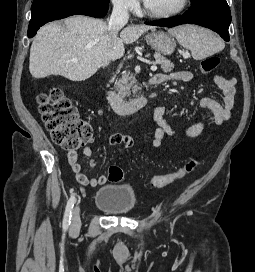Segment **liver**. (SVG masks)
Returning <instances> with one entry per match:
<instances>
[{
  "mask_svg": "<svg viewBox=\"0 0 255 272\" xmlns=\"http://www.w3.org/2000/svg\"><path fill=\"white\" fill-rule=\"evenodd\" d=\"M39 29L30 49L29 71L36 79L60 75L71 81H83L99 68L124 55V43L135 42L150 25L125 27L112 39L105 21L76 15Z\"/></svg>",
  "mask_w": 255,
  "mask_h": 272,
  "instance_id": "6515ba94",
  "label": "liver"
}]
</instances>
